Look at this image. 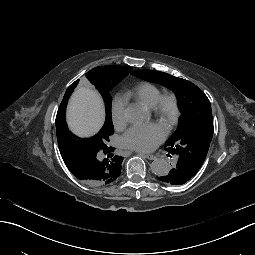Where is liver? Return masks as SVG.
Masks as SVG:
<instances>
[{
    "mask_svg": "<svg viewBox=\"0 0 255 255\" xmlns=\"http://www.w3.org/2000/svg\"><path fill=\"white\" fill-rule=\"evenodd\" d=\"M105 120L104 104L99 93L89 84L80 82L67 108V123L80 137L96 134Z\"/></svg>",
    "mask_w": 255,
    "mask_h": 255,
    "instance_id": "liver-1",
    "label": "liver"
}]
</instances>
